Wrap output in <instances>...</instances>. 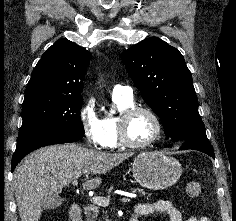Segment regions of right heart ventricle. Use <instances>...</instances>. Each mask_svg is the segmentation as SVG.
I'll list each match as a JSON object with an SVG mask.
<instances>
[{
	"label": "right heart ventricle",
	"mask_w": 236,
	"mask_h": 221,
	"mask_svg": "<svg viewBox=\"0 0 236 221\" xmlns=\"http://www.w3.org/2000/svg\"><path fill=\"white\" fill-rule=\"evenodd\" d=\"M114 104L116 105L119 113L117 115L107 114L102 118V127L104 130V147L116 149L121 147V143L118 138V125L117 120L120 112L127 107L134 105L133 99H124L119 97H113Z\"/></svg>",
	"instance_id": "obj_1"
}]
</instances>
